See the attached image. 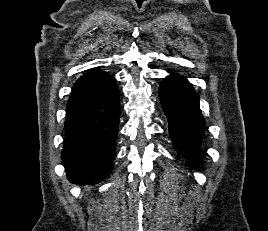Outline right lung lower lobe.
Returning <instances> with one entry per match:
<instances>
[{
	"mask_svg": "<svg viewBox=\"0 0 268 231\" xmlns=\"http://www.w3.org/2000/svg\"><path fill=\"white\" fill-rule=\"evenodd\" d=\"M119 114V91L112 75L92 69L77 80L66 106L62 150L71 183L94 184L109 174Z\"/></svg>",
	"mask_w": 268,
	"mask_h": 231,
	"instance_id": "obj_1",
	"label": "right lung lower lobe"
}]
</instances>
